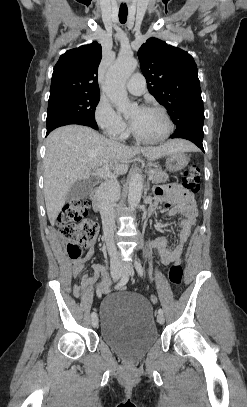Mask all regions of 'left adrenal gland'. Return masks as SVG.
Returning <instances> with one entry per match:
<instances>
[{
	"label": "left adrenal gland",
	"instance_id": "a2214340",
	"mask_svg": "<svg viewBox=\"0 0 247 407\" xmlns=\"http://www.w3.org/2000/svg\"><path fill=\"white\" fill-rule=\"evenodd\" d=\"M147 189H149V182H147Z\"/></svg>",
	"mask_w": 247,
	"mask_h": 407
}]
</instances>
